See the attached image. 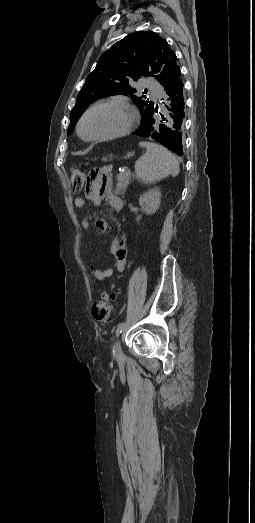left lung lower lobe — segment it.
<instances>
[{
    "instance_id": "left-lung-lower-lobe-1",
    "label": "left lung lower lobe",
    "mask_w": 255,
    "mask_h": 523,
    "mask_svg": "<svg viewBox=\"0 0 255 523\" xmlns=\"http://www.w3.org/2000/svg\"><path fill=\"white\" fill-rule=\"evenodd\" d=\"M184 82L180 76L175 78V85L166 86V94H169L171 114H161V110L151 111V115L146 120L145 127L135 129L137 137H151V140H156L157 145L170 147V152L178 154L180 159L185 157L184 148L185 141L182 139L184 133V109L186 100L184 98ZM156 115V116H155Z\"/></svg>"
}]
</instances>
